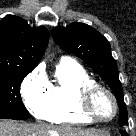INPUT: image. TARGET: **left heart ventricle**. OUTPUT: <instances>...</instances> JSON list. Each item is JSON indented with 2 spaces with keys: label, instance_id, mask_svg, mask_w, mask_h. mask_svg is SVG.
Returning a JSON list of instances; mask_svg holds the SVG:
<instances>
[{
  "label": "left heart ventricle",
  "instance_id": "1",
  "mask_svg": "<svg viewBox=\"0 0 136 136\" xmlns=\"http://www.w3.org/2000/svg\"><path fill=\"white\" fill-rule=\"evenodd\" d=\"M93 109L99 117L109 118L113 113V104L110 97L104 92L97 93L93 100Z\"/></svg>",
  "mask_w": 136,
  "mask_h": 136
}]
</instances>
